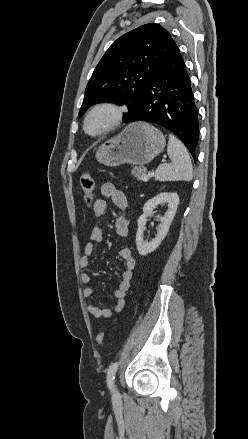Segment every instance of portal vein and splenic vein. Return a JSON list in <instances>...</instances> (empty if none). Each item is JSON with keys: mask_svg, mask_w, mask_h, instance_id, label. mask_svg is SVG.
<instances>
[{"mask_svg": "<svg viewBox=\"0 0 248 439\" xmlns=\"http://www.w3.org/2000/svg\"><path fill=\"white\" fill-rule=\"evenodd\" d=\"M153 174H154L153 171H150V172L148 173V175H146V174L143 175L142 180L145 181V182L148 181V179H149L148 176H153Z\"/></svg>", "mask_w": 248, "mask_h": 439, "instance_id": "portal-vein-and-splenic-vein-1", "label": "portal vein and splenic vein"}]
</instances>
